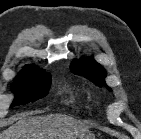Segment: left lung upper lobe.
<instances>
[{
    "mask_svg": "<svg viewBox=\"0 0 141 139\" xmlns=\"http://www.w3.org/2000/svg\"><path fill=\"white\" fill-rule=\"evenodd\" d=\"M71 70L73 73L83 75L84 77L93 81L99 87L106 86V71L92 58H82L80 60H74L71 63ZM108 90L111 91L110 88H108Z\"/></svg>",
    "mask_w": 141,
    "mask_h": 139,
    "instance_id": "left-lung-upper-lobe-1",
    "label": "left lung upper lobe"
}]
</instances>
